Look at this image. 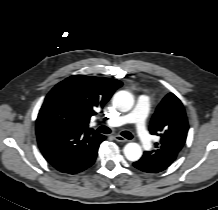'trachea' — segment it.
Returning <instances> with one entry per match:
<instances>
[{
	"instance_id": "3493384b",
	"label": "trachea",
	"mask_w": 218,
	"mask_h": 210,
	"mask_svg": "<svg viewBox=\"0 0 218 210\" xmlns=\"http://www.w3.org/2000/svg\"><path fill=\"white\" fill-rule=\"evenodd\" d=\"M98 132L103 133V134H109L111 133V129L106 126H100L98 128ZM121 135L129 140L133 138L132 134L129 131H123Z\"/></svg>"
}]
</instances>
